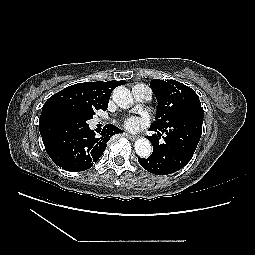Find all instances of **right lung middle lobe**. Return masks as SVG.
<instances>
[{
    "mask_svg": "<svg viewBox=\"0 0 255 255\" xmlns=\"http://www.w3.org/2000/svg\"><path fill=\"white\" fill-rule=\"evenodd\" d=\"M94 114V112H87L81 115L56 113L47 119L42 126L52 127L56 131L63 133L65 136L72 137L89 126L87 121L92 119Z\"/></svg>",
    "mask_w": 255,
    "mask_h": 255,
    "instance_id": "1",
    "label": "right lung middle lobe"
}]
</instances>
